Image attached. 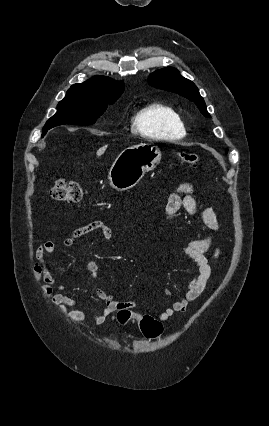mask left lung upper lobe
<instances>
[{"instance_id":"obj_1","label":"left lung upper lobe","mask_w":269,"mask_h":426,"mask_svg":"<svg viewBox=\"0 0 269 426\" xmlns=\"http://www.w3.org/2000/svg\"><path fill=\"white\" fill-rule=\"evenodd\" d=\"M148 82L155 88L180 94L193 101L205 117H210L196 85L182 77L178 70L171 67L163 68L152 73L148 78Z\"/></svg>"}]
</instances>
